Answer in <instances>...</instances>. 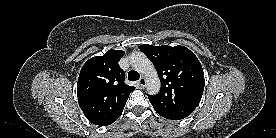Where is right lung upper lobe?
Segmentation results:
<instances>
[{
    "instance_id": "right-lung-upper-lobe-1",
    "label": "right lung upper lobe",
    "mask_w": 276,
    "mask_h": 138,
    "mask_svg": "<svg viewBox=\"0 0 276 138\" xmlns=\"http://www.w3.org/2000/svg\"><path fill=\"white\" fill-rule=\"evenodd\" d=\"M121 50H109L83 65L77 83L79 106L93 124L107 126L122 114L130 93L135 89L124 83L123 70L118 62Z\"/></svg>"
}]
</instances>
